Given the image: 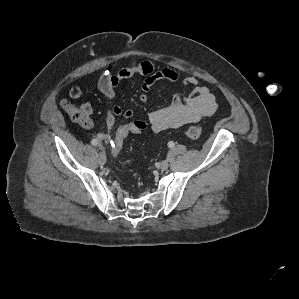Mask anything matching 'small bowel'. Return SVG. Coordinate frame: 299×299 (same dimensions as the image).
<instances>
[{
	"instance_id": "1",
	"label": "small bowel",
	"mask_w": 299,
	"mask_h": 299,
	"mask_svg": "<svg viewBox=\"0 0 299 299\" xmlns=\"http://www.w3.org/2000/svg\"><path fill=\"white\" fill-rule=\"evenodd\" d=\"M135 75L144 76L140 94L142 103L148 101V93L157 82L177 83L179 79L177 72L171 68L164 67L156 70L150 61H132L115 74L102 75L98 82V89L106 100H112L115 96V87ZM184 85L191 88L189 93L176 92L168 106L148 113L147 121L153 132L159 133L167 129L180 128L186 124L196 123L217 111L218 104L215 96L208 87L199 86L195 76L186 78ZM81 95L82 91L77 86L72 87L69 91V96L72 99H79ZM83 106L89 114L92 113V106L89 103H85ZM120 116L141 123L144 129L147 127V122L144 119H133L134 112L132 110H125L119 105H114L106 114V126L109 132L115 127L116 119ZM91 126L92 123L88 128ZM97 138L100 141L111 142V136L108 133H98Z\"/></svg>"
}]
</instances>
